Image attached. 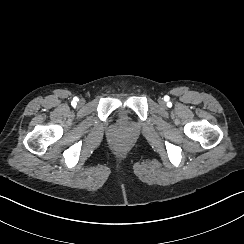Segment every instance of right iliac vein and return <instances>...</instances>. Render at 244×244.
<instances>
[{"mask_svg": "<svg viewBox=\"0 0 244 244\" xmlns=\"http://www.w3.org/2000/svg\"><path fill=\"white\" fill-rule=\"evenodd\" d=\"M79 104H80V106H82L84 104V101L81 100Z\"/></svg>", "mask_w": 244, "mask_h": 244, "instance_id": "63e3f726", "label": "right iliac vein"}]
</instances>
